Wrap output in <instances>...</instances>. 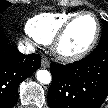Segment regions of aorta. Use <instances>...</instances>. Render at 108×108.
Instances as JSON below:
<instances>
[{
	"label": "aorta",
	"mask_w": 108,
	"mask_h": 108,
	"mask_svg": "<svg viewBox=\"0 0 108 108\" xmlns=\"http://www.w3.org/2000/svg\"><path fill=\"white\" fill-rule=\"evenodd\" d=\"M37 80L43 84H49L51 82V74L47 70L37 71Z\"/></svg>",
	"instance_id": "1"
}]
</instances>
